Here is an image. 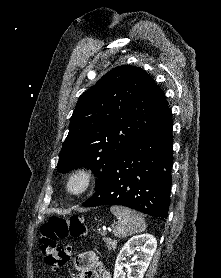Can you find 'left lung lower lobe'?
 <instances>
[{
	"mask_svg": "<svg viewBox=\"0 0 221 278\" xmlns=\"http://www.w3.org/2000/svg\"><path fill=\"white\" fill-rule=\"evenodd\" d=\"M172 125L169 109L120 152L95 194L82 205H122L166 220L172 181Z\"/></svg>",
	"mask_w": 221,
	"mask_h": 278,
	"instance_id": "obj_1",
	"label": "left lung lower lobe"
}]
</instances>
